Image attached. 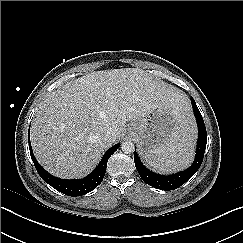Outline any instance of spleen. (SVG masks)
<instances>
[{
    "label": "spleen",
    "mask_w": 243,
    "mask_h": 243,
    "mask_svg": "<svg viewBox=\"0 0 243 243\" xmlns=\"http://www.w3.org/2000/svg\"><path fill=\"white\" fill-rule=\"evenodd\" d=\"M194 132L189 126H179L170 141L144 158L153 168L163 172L181 170L190 165L194 157Z\"/></svg>",
    "instance_id": "1"
}]
</instances>
